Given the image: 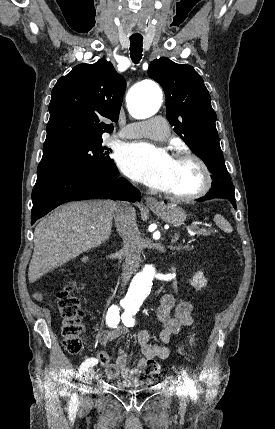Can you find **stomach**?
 I'll use <instances>...</instances> for the list:
<instances>
[{
    "label": "stomach",
    "instance_id": "stomach-1",
    "mask_svg": "<svg viewBox=\"0 0 275 429\" xmlns=\"http://www.w3.org/2000/svg\"><path fill=\"white\" fill-rule=\"evenodd\" d=\"M151 210L160 216L162 220L173 225L181 224L186 218L185 212L173 204H163L157 208H151Z\"/></svg>",
    "mask_w": 275,
    "mask_h": 429
}]
</instances>
